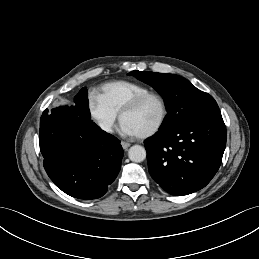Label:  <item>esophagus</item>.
Masks as SVG:
<instances>
[{"label": "esophagus", "instance_id": "esophagus-1", "mask_svg": "<svg viewBox=\"0 0 259 259\" xmlns=\"http://www.w3.org/2000/svg\"><path fill=\"white\" fill-rule=\"evenodd\" d=\"M121 145H122V147H123L125 150H127V149L130 147V143H127V142H125V141H122V142H121Z\"/></svg>", "mask_w": 259, "mask_h": 259}]
</instances>
